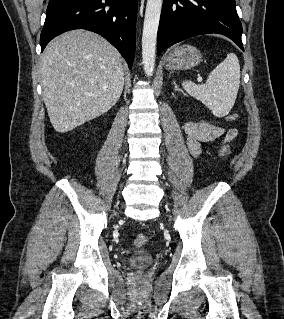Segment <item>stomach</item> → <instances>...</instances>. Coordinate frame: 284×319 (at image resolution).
<instances>
[{"label":"stomach","instance_id":"stomach-1","mask_svg":"<svg viewBox=\"0 0 284 319\" xmlns=\"http://www.w3.org/2000/svg\"><path fill=\"white\" fill-rule=\"evenodd\" d=\"M202 59L200 51L191 45H182L172 50L165 58L168 70H189Z\"/></svg>","mask_w":284,"mask_h":319}]
</instances>
